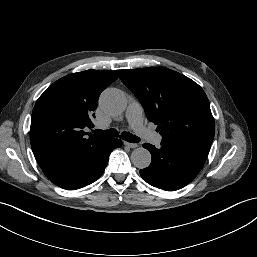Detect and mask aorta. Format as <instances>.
Returning a JSON list of instances; mask_svg holds the SVG:
<instances>
[{"instance_id": "aorta-1", "label": "aorta", "mask_w": 257, "mask_h": 257, "mask_svg": "<svg viewBox=\"0 0 257 257\" xmlns=\"http://www.w3.org/2000/svg\"><path fill=\"white\" fill-rule=\"evenodd\" d=\"M99 102L101 108L110 115H120L127 107L125 94L115 88L104 90L100 96ZM130 158L132 164L139 169L147 168L151 163V154L143 147L134 149Z\"/></svg>"}]
</instances>
